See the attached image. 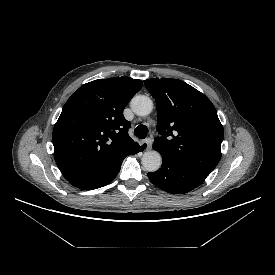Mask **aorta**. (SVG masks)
I'll return each mask as SVG.
<instances>
[{
  "mask_svg": "<svg viewBox=\"0 0 275 275\" xmlns=\"http://www.w3.org/2000/svg\"><path fill=\"white\" fill-rule=\"evenodd\" d=\"M133 112L139 116H146L153 110L152 100L145 95H137L131 100ZM162 164V157L157 151H147L142 156V165L148 172L157 171Z\"/></svg>",
  "mask_w": 275,
  "mask_h": 275,
  "instance_id": "1",
  "label": "aorta"
}]
</instances>
